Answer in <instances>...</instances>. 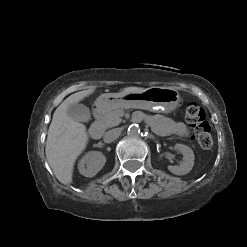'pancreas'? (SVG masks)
<instances>
[{
    "instance_id": "pancreas-1",
    "label": "pancreas",
    "mask_w": 247,
    "mask_h": 247,
    "mask_svg": "<svg viewBox=\"0 0 247 247\" xmlns=\"http://www.w3.org/2000/svg\"><path fill=\"white\" fill-rule=\"evenodd\" d=\"M124 115V109L116 108L113 111H109L104 114L98 121L99 125L103 129L111 128L117 126L122 121L121 117Z\"/></svg>"
}]
</instances>
